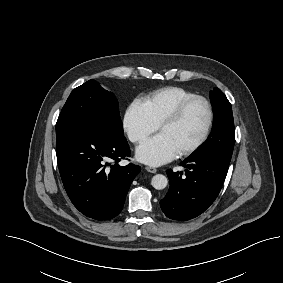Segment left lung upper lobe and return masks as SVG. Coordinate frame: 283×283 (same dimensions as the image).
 Wrapping results in <instances>:
<instances>
[{"label": "left lung upper lobe", "mask_w": 283, "mask_h": 283, "mask_svg": "<svg viewBox=\"0 0 283 283\" xmlns=\"http://www.w3.org/2000/svg\"><path fill=\"white\" fill-rule=\"evenodd\" d=\"M210 99L214 109L212 132L195 154H213L230 161L235 144L232 107L224 93L218 88L210 92Z\"/></svg>", "instance_id": "left-lung-upper-lobe-1"}]
</instances>
